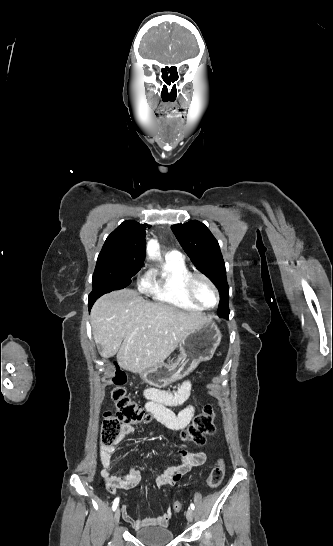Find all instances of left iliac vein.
I'll return each instance as SVG.
<instances>
[{
	"mask_svg": "<svg viewBox=\"0 0 333 546\" xmlns=\"http://www.w3.org/2000/svg\"><path fill=\"white\" fill-rule=\"evenodd\" d=\"M193 516H194V512L191 508H189L186 512L187 520L191 522L193 520Z\"/></svg>",
	"mask_w": 333,
	"mask_h": 546,
	"instance_id": "left-iliac-vein-1",
	"label": "left iliac vein"
}]
</instances>
